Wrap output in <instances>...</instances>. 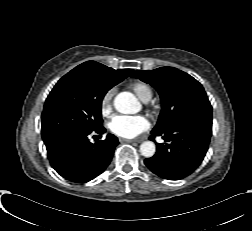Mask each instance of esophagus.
<instances>
[{
    "label": "esophagus",
    "mask_w": 252,
    "mask_h": 231,
    "mask_svg": "<svg viewBox=\"0 0 252 231\" xmlns=\"http://www.w3.org/2000/svg\"><path fill=\"white\" fill-rule=\"evenodd\" d=\"M119 141H120L121 143H124V142H126V143H134L133 140H129V139H125V138H119Z\"/></svg>",
    "instance_id": "1"
}]
</instances>
